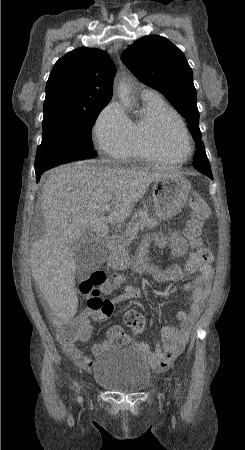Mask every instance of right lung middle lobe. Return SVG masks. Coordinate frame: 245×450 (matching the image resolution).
I'll return each mask as SVG.
<instances>
[{
	"instance_id": "right-lung-middle-lobe-1",
	"label": "right lung middle lobe",
	"mask_w": 245,
	"mask_h": 450,
	"mask_svg": "<svg viewBox=\"0 0 245 450\" xmlns=\"http://www.w3.org/2000/svg\"><path fill=\"white\" fill-rule=\"evenodd\" d=\"M106 105L101 104L90 110H44L42 143L36 154L35 171L95 158L97 154L91 143V127Z\"/></svg>"
}]
</instances>
